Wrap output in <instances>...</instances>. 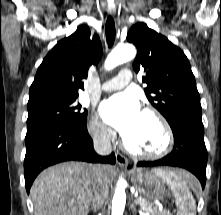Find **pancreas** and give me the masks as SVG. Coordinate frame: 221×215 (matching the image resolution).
<instances>
[{"instance_id": "1", "label": "pancreas", "mask_w": 221, "mask_h": 215, "mask_svg": "<svg viewBox=\"0 0 221 215\" xmlns=\"http://www.w3.org/2000/svg\"><path fill=\"white\" fill-rule=\"evenodd\" d=\"M140 199H142V203L139 204L141 209L145 212H149L150 215H171L168 211L165 210H158V208L156 206H154L153 204H151L148 200H146L143 197H139Z\"/></svg>"}]
</instances>
